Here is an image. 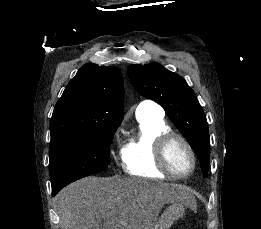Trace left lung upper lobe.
<instances>
[{
  "instance_id": "left-lung-upper-lobe-1",
  "label": "left lung upper lobe",
  "mask_w": 261,
  "mask_h": 229,
  "mask_svg": "<svg viewBox=\"0 0 261 229\" xmlns=\"http://www.w3.org/2000/svg\"><path fill=\"white\" fill-rule=\"evenodd\" d=\"M128 78L142 96L159 103L200 159L204 177L210 160L208 124L195 93L178 74L157 63L129 65Z\"/></svg>"
}]
</instances>
